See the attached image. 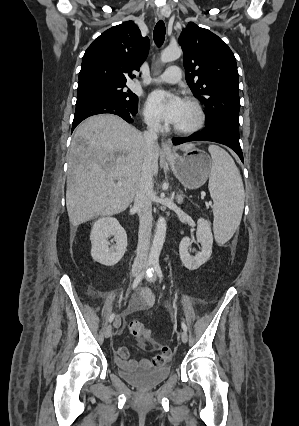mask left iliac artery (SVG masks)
<instances>
[{"mask_svg":"<svg viewBox=\"0 0 299 426\" xmlns=\"http://www.w3.org/2000/svg\"><path fill=\"white\" fill-rule=\"evenodd\" d=\"M153 267H154L155 272L157 273L158 277H159L160 279H163V273H162V271H161V268H160L159 262H158V261H154V262H153ZM147 275H148V277H151V276H152V274H151V271H150V270H148ZM181 326H182V329H183L184 331H187V326H186V324H185L184 322H182V323H181Z\"/></svg>","mask_w":299,"mask_h":426,"instance_id":"left-iliac-artery-1","label":"left iliac artery"}]
</instances>
